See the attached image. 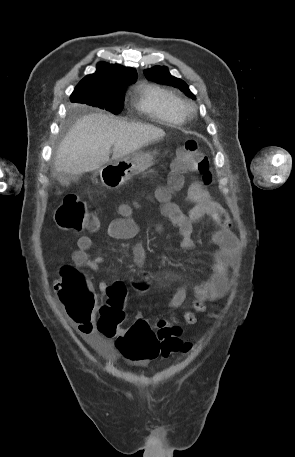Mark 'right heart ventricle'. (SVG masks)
<instances>
[{
  "label": "right heart ventricle",
  "mask_w": 295,
  "mask_h": 457,
  "mask_svg": "<svg viewBox=\"0 0 295 457\" xmlns=\"http://www.w3.org/2000/svg\"><path fill=\"white\" fill-rule=\"evenodd\" d=\"M180 102L176 94L157 84H141L135 89V107L157 121L182 123L184 115L180 110Z\"/></svg>",
  "instance_id": "1"
}]
</instances>
